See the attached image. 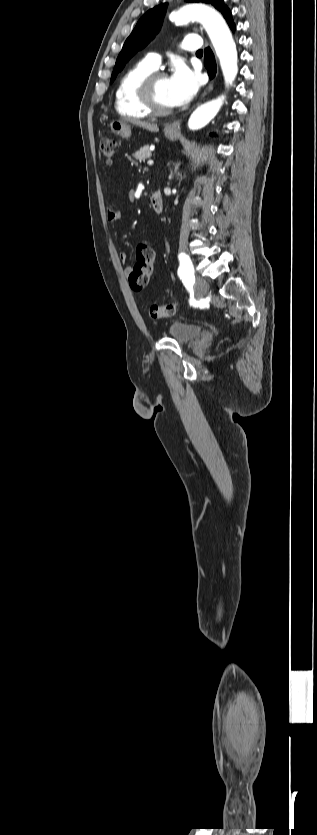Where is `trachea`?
I'll list each match as a JSON object with an SVG mask.
<instances>
[{
    "label": "trachea",
    "mask_w": 317,
    "mask_h": 835,
    "mask_svg": "<svg viewBox=\"0 0 317 835\" xmlns=\"http://www.w3.org/2000/svg\"><path fill=\"white\" fill-rule=\"evenodd\" d=\"M196 54H197V55H202V54H203V51H202V50H198V51L196 52Z\"/></svg>",
    "instance_id": "1"
}]
</instances>
